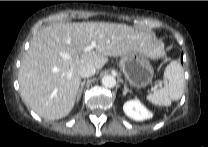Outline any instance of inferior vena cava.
Returning a JSON list of instances; mask_svg holds the SVG:
<instances>
[{"label": "inferior vena cava", "instance_id": "inferior-vena-cava-1", "mask_svg": "<svg viewBox=\"0 0 208 147\" xmlns=\"http://www.w3.org/2000/svg\"><path fill=\"white\" fill-rule=\"evenodd\" d=\"M96 68L94 66H86L80 70V76L82 78L91 77L95 74Z\"/></svg>", "mask_w": 208, "mask_h": 147}]
</instances>
